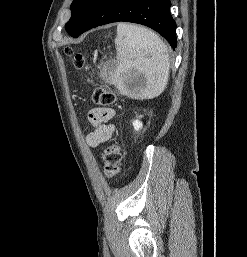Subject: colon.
Listing matches in <instances>:
<instances>
[{"instance_id":"5ec220e1","label":"colon","mask_w":247,"mask_h":257,"mask_svg":"<svg viewBox=\"0 0 247 257\" xmlns=\"http://www.w3.org/2000/svg\"><path fill=\"white\" fill-rule=\"evenodd\" d=\"M66 53L73 55L74 66L76 69H82L85 65L84 56L81 53L74 52L73 49H66ZM93 101L101 106H110L116 100L115 93L107 88L98 87L93 92ZM104 158V172L108 178L115 177L120 170V164L122 161L121 148L117 143L109 144L103 154Z\"/></svg>"}]
</instances>
